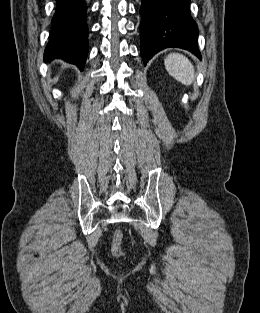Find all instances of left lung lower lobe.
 <instances>
[{"mask_svg":"<svg viewBox=\"0 0 260 313\" xmlns=\"http://www.w3.org/2000/svg\"><path fill=\"white\" fill-rule=\"evenodd\" d=\"M189 3L190 0H142L140 38L144 64L168 47L186 49L201 59L198 28L191 18Z\"/></svg>","mask_w":260,"mask_h":313,"instance_id":"left-lung-lower-lobe-1","label":"left lung lower lobe"}]
</instances>
